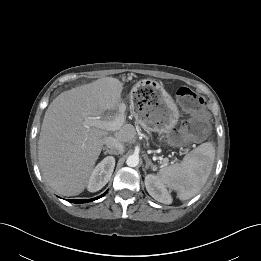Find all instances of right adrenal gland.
Returning <instances> with one entry per match:
<instances>
[{
    "mask_svg": "<svg viewBox=\"0 0 261 261\" xmlns=\"http://www.w3.org/2000/svg\"><path fill=\"white\" fill-rule=\"evenodd\" d=\"M104 152L103 154H113L110 150L103 148Z\"/></svg>",
    "mask_w": 261,
    "mask_h": 261,
    "instance_id": "2a0ac1e0",
    "label": "right adrenal gland"
}]
</instances>
